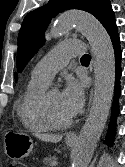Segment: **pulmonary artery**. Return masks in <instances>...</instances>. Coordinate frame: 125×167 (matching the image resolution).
<instances>
[{"instance_id": "obj_1", "label": "pulmonary artery", "mask_w": 125, "mask_h": 167, "mask_svg": "<svg viewBox=\"0 0 125 167\" xmlns=\"http://www.w3.org/2000/svg\"><path fill=\"white\" fill-rule=\"evenodd\" d=\"M84 44L80 40H68L58 44L33 68L32 77L50 82L55 73L65 67L71 58L83 53Z\"/></svg>"}]
</instances>
